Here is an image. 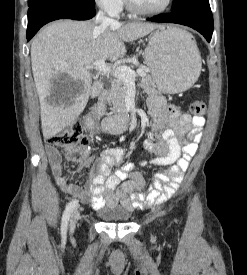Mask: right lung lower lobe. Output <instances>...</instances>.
<instances>
[{
	"instance_id": "98d812e1",
	"label": "right lung lower lobe",
	"mask_w": 247,
	"mask_h": 275,
	"mask_svg": "<svg viewBox=\"0 0 247 275\" xmlns=\"http://www.w3.org/2000/svg\"><path fill=\"white\" fill-rule=\"evenodd\" d=\"M95 16L94 7L52 1L28 9L27 40L29 41L46 23L57 19L88 20Z\"/></svg>"
}]
</instances>
